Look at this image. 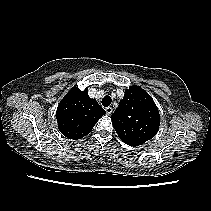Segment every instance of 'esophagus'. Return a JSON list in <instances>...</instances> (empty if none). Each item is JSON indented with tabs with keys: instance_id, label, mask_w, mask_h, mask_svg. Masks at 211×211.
I'll list each match as a JSON object with an SVG mask.
<instances>
[{
	"instance_id": "34e87169",
	"label": "esophagus",
	"mask_w": 211,
	"mask_h": 211,
	"mask_svg": "<svg viewBox=\"0 0 211 211\" xmlns=\"http://www.w3.org/2000/svg\"><path fill=\"white\" fill-rule=\"evenodd\" d=\"M105 111L108 115H110L113 113V108L109 106V107L105 108Z\"/></svg>"
}]
</instances>
